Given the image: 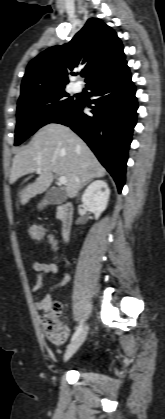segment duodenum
<instances>
[{"mask_svg": "<svg viewBox=\"0 0 165 419\" xmlns=\"http://www.w3.org/2000/svg\"><path fill=\"white\" fill-rule=\"evenodd\" d=\"M58 212L61 235L64 241H68L73 226V204L70 201L61 203Z\"/></svg>", "mask_w": 165, "mask_h": 419, "instance_id": "obj_1", "label": "duodenum"}]
</instances>
